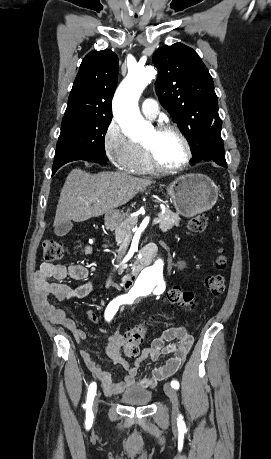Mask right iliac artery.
<instances>
[{
	"instance_id": "82829eb1",
	"label": "right iliac artery",
	"mask_w": 271,
	"mask_h": 459,
	"mask_svg": "<svg viewBox=\"0 0 271 459\" xmlns=\"http://www.w3.org/2000/svg\"><path fill=\"white\" fill-rule=\"evenodd\" d=\"M130 301L125 298V297H118L114 300H112L106 310H105V319L107 321H110L113 316L115 315V313L118 311V308L120 305L122 304H126V303H129ZM96 383L93 382L90 384L89 388H88V394H87V401H86V404L84 405V408L87 409V412H86V422L89 423V424H92L93 422V413H92V404H93V400H94V396L96 394Z\"/></svg>"
}]
</instances>
